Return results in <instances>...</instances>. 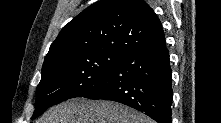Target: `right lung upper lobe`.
<instances>
[{"label": "right lung upper lobe", "mask_w": 221, "mask_h": 123, "mask_svg": "<svg viewBox=\"0 0 221 123\" xmlns=\"http://www.w3.org/2000/svg\"><path fill=\"white\" fill-rule=\"evenodd\" d=\"M163 44L162 24L145 1L100 0L63 27L44 63L86 50L109 49L129 54Z\"/></svg>", "instance_id": "cb5924a9"}]
</instances>
